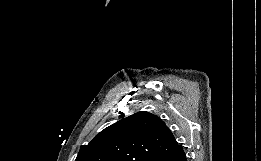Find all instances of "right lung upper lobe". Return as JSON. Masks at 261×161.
<instances>
[{
    "label": "right lung upper lobe",
    "mask_w": 261,
    "mask_h": 161,
    "mask_svg": "<svg viewBox=\"0 0 261 161\" xmlns=\"http://www.w3.org/2000/svg\"><path fill=\"white\" fill-rule=\"evenodd\" d=\"M181 148L159 117L143 111L105 128L75 161H154Z\"/></svg>",
    "instance_id": "1"
}]
</instances>
